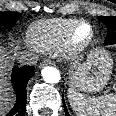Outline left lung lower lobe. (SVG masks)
Here are the masks:
<instances>
[{"instance_id": "left-lung-lower-lobe-1", "label": "left lung lower lobe", "mask_w": 116, "mask_h": 116, "mask_svg": "<svg viewBox=\"0 0 116 116\" xmlns=\"http://www.w3.org/2000/svg\"><path fill=\"white\" fill-rule=\"evenodd\" d=\"M63 105H64V109H65V113H66V116H70L68 111H67V108H66V105H65V102H64V99H63Z\"/></svg>"}]
</instances>
